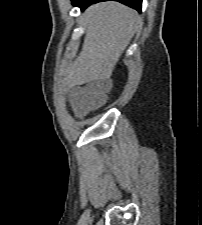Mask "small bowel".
<instances>
[{"label": "small bowel", "mask_w": 202, "mask_h": 225, "mask_svg": "<svg viewBox=\"0 0 202 225\" xmlns=\"http://www.w3.org/2000/svg\"><path fill=\"white\" fill-rule=\"evenodd\" d=\"M113 81L109 78H104L100 82L96 83V85H103V86H112ZM90 95L86 88H82L76 91L74 94L72 101L74 104L80 106L84 110L90 109V101H89Z\"/></svg>", "instance_id": "small-bowel-1"}]
</instances>
